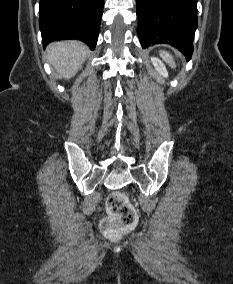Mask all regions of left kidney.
I'll use <instances>...</instances> for the list:
<instances>
[{
    "instance_id": "1",
    "label": "left kidney",
    "mask_w": 233,
    "mask_h": 284,
    "mask_svg": "<svg viewBox=\"0 0 233 284\" xmlns=\"http://www.w3.org/2000/svg\"><path fill=\"white\" fill-rule=\"evenodd\" d=\"M151 61L156 71L163 77H168V72L163 62L155 57H151Z\"/></svg>"
}]
</instances>
